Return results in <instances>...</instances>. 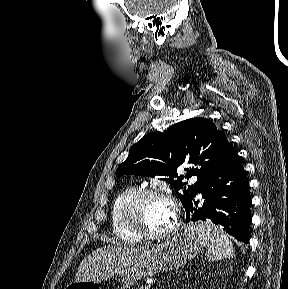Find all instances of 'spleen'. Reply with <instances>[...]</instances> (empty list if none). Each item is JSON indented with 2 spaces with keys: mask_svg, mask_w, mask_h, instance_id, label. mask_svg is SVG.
<instances>
[{
  "mask_svg": "<svg viewBox=\"0 0 288 289\" xmlns=\"http://www.w3.org/2000/svg\"><path fill=\"white\" fill-rule=\"evenodd\" d=\"M190 230L207 248L206 256L209 261L235 257L233 244L221 227L211 222H198L190 226Z\"/></svg>",
  "mask_w": 288,
  "mask_h": 289,
  "instance_id": "3e777b00",
  "label": "spleen"
}]
</instances>
